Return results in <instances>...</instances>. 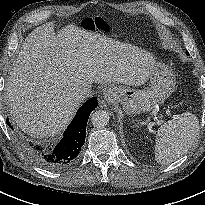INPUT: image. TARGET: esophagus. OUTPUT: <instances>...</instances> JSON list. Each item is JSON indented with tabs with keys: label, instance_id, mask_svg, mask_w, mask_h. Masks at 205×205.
<instances>
[{
	"label": "esophagus",
	"instance_id": "34e87169",
	"mask_svg": "<svg viewBox=\"0 0 205 205\" xmlns=\"http://www.w3.org/2000/svg\"><path fill=\"white\" fill-rule=\"evenodd\" d=\"M102 94H103V99L104 101H114L115 100V94H114V90L111 87H105L102 90Z\"/></svg>",
	"mask_w": 205,
	"mask_h": 205
}]
</instances>
